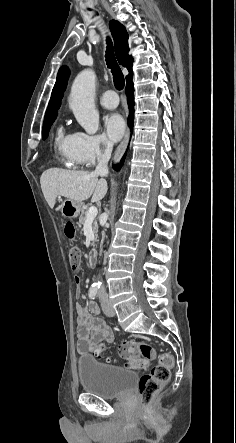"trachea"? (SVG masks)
<instances>
[{
    "label": "trachea",
    "instance_id": "1",
    "mask_svg": "<svg viewBox=\"0 0 236 443\" xmlns=\"http://www.w3.org/2000/svg\"><path fill=\"white\" fill-rule=\"evenodd\" d=\"M106 63L108 68L111 69L116 89L122 90L125 84L124 75L115 58L113 44L110 38L107 39Z\"/></svg>",
    "mask_w": 236,
    "mask_h": 443
}]
</instances>
